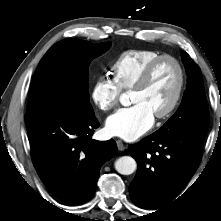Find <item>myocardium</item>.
I'll list each match as a JSON object with an SVG mask.
<instances>
[{
    "label": "myocardium",
    "mask_w": 221,
    "mask_h": 221,
    "mask_svg": "<svg viewBox=\"0 0 221 221\" xmlns=\"http://www.w3.org/2000/svg\"><path fill=\"white\" fill-rule=\"evenodd\" d=\"M166 61H170L176 66V68L178 70V84H177L174 96H173L170 104L167 106V108L164 111L154 115L157 119L168 118L175 111V109L177 108V106L180 103V100L182 98L183 91H184V86H185V71H184V68H183L181 62L177 58H175L171 55H162V56L154 59L153 61H151L144 68V70L142 71L140 76L137 78V80L135 81V83L131 87V91L140 90L143 87H145L146 84L148 83V81L150 80L154 70L161 63L166 62Z\"/></svg>",
    "instance_id": "obj_1"
}]
</instances>
